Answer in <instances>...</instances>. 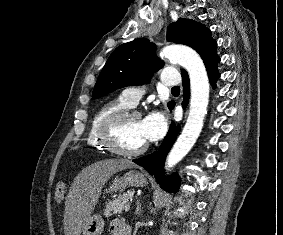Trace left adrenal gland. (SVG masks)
<instances>
[{"mask_svg": "<svg viewBox=\"0 0 283 235\" xmlns=\"http://www.w3.org/2000/svg\"><path fill=\"white\" fill-rule=\"evenodd\" d=\"M141 213V204L139 201H137L136 211L135 214L139 215Z\"/></svg>", "mask_w": 283, "mask_h": 235, "instance_id": "1", "label": "left adrenal gland"}]
</instances>
